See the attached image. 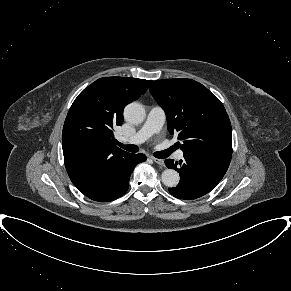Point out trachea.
Masks as SVG:
<instances>
[{"label":"trachea","instance_id":"trachea-1","mask_svg":"<svg viewBox=\"0 0 291 291\" xmlns=\"http://www.w3.org/2000/svg\"><path fill=\"white\" fill-rule=\"evenodd\" d=\"M118 146H120L121 148H123L126 151L133 152V153H136L139 150V148L136 145H124L122 143H118ZM174 150H175V147H171L167 150L156 152L154 154V156L159 158V159H164V158L168 157Z\"/></svg>","mask_w":291,"mask_h":291}]
</instances>
